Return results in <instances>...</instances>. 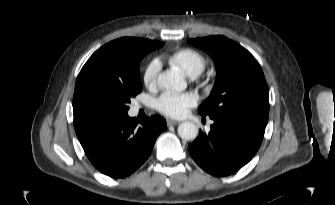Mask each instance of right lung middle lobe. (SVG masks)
<instances>
[{
    "label": "right lung middle lobe",
    "mask_w": 335,
    "mask_h": 205,
    "mask_svg": "<svg viewBox=\"0 0 335 205\" xmlns=\"http://www.w3.org/2000/svg\"><path fill=\"white\" fill-rule=\"evenodd\" d=\"M163 46L133 49L130 66L120 77L101 78L81 86L73 97L74 126L81 127L128 114V103L142 91L139 63L150 51Z\"/></svg>",
    "instance_id": "right-lung-middle-lobe-1"
}]
</instances>
